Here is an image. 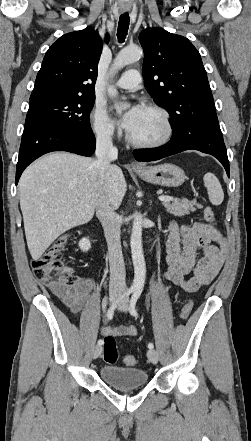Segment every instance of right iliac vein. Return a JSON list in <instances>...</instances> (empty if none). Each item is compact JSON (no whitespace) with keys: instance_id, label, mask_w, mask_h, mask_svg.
Segmentation results:
<instances>
[{"instance_id":"1","label":"right iliac vein","mask_w":251,"mask_h":441,"mask_svg":"<svg viewBox=\"0 0 251 441\" xmlns=\"http://www.w3.org/2000/svg\"><path fill=\"white\" fill-rule=\"evenodd\" d=\"M118 297H119L118 293H112L110 295V302L114 303L118 299ZM101 353H102V346L101 345H97L94 348V351H93V358L94 359L98 358L101 355Z\"/></svg>"}]
</instances>
